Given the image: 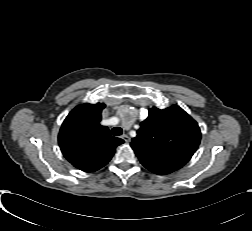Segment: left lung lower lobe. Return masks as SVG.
<instances>
[{"label":"left lung lower lobe","mask_w":252,"mask_h":231,"mask_svg":"<svg viewBox=\"0 0 252 231\" xmlns=\"http://www.w3.org/2000/svg\"><path fill=\"white\" fill-rule=\"evenodd\" d=\"M142 165L148 170L159 175L172 173L182 167V165L180 164L172 163H143Z\"/></svg>","instance_id":"1"}]
</instances>
